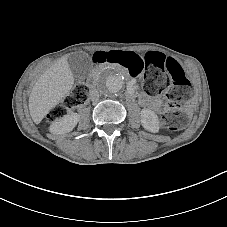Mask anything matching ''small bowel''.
<instances>
[{
  "mask_svg": "<svg viewBox=\"0 0 227 227\" xmlns=\"http://www.w3.org/2000/svg\"><path fill=\"white\" fill-rule=\"evenodd\" d=\"M162 57H165L164 54L159 53V52H154ZM115 65V64H114ZM148 99V104L147 106L151 108L152 110L156 112H164L166 110V107L163 105L162 101L156 98H147Z\"/></svg>",
  "mask_w": 227,
  "mask_h": 227,
  "instance_id": "c3829d8e",
  "label": "small bowel"
}]
</instances>
